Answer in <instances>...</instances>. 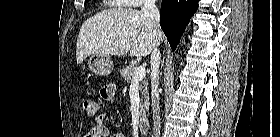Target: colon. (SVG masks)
Listing matches in <instances>:
<instances>
[{
	"label": "colon",
	"mask_w": 280,
	"mask_h": 137,
	"mask_svg": "<svg viewBox=\"0 0 280 137\" xmlns=\"http://www.w3.org/2000/svg\"><path fill=\"white\" fill-rule=\"evenodd\" d=\"M102 97L106 100H112L114 98V95L104 92ZM83 109L88 116L97 117L99 112L98 102L94 99H84ZM88 137H99V134L91 133Z\"/></svg>",
	"instance_id": "1"
}]
</instances>
